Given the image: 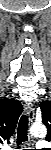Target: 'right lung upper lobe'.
I'll list each match as a JSON object with an SVG mask.
<instances>
[{"label":"right lung upper lobe","instance_id":"1","mask_svg":"<svg viewBox=\"0 0 51 150\" xmlns=\"http://www.w3.org/2000/svg\"><path fill=\"white\" fill-rule=\"evenodd\" d=\"M22 111L23 107L17 100L4 99L0 101V143L9 142Z\"/></svg>","mask_w":51,"mask_h":150}]
</instances>
